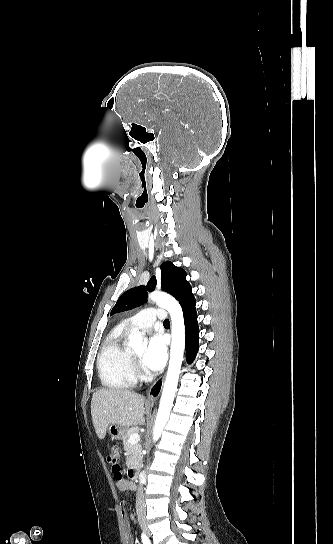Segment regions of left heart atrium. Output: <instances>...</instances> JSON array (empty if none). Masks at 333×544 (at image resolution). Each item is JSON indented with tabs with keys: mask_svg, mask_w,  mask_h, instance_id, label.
Masks as SVG:
<instances>
[{
	"mask_svg": "<svg viewBox=\"0 0 333 544\" xmlns=\"http://www.w3.org/2000/svg\"><path fill=\"white\" fill-rule=\"evenodd\" d=\"M167 359L166 340L163 335L154 334L148 342V346L143 354L144 366L153 372L161 370Z\"/></svg>",
	"mask_w": 333,
	"mask_h": 544,
	"instance_id": "obj_1",
	"label": "left heart atrium"
}]
</instances>
